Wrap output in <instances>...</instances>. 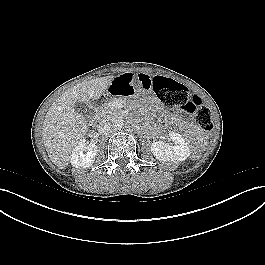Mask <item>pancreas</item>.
Segmentation results:
<instances>
[{
  "label": "pancreas",
  "mask_w": 265,
  "mask_h": 265,
  "mask_svg": "<svg viewBox=\"0 0 265 265\" xmlns=\"http://www.w3.org/2000/svg\"><path fill=\"white\" fill-rule=\"evenodd\" d=\"M114 102H115L114 100H111L110 102H108L107 104H105L103 107L100 108L99 113L102 117H110L111 115H114V114L115 115L120 114V113H117V112H120V109L115 107Z\"/></svg>",
  "instance_id": "obj_1"
}]
</instances>
